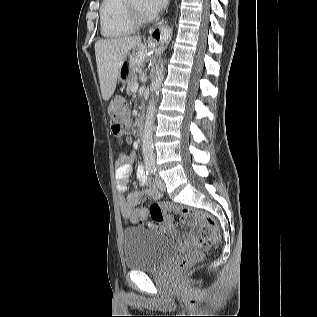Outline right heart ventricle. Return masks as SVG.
I'll use <instances>...</instances> for the list:
<instances>
[{
  "mask_svg": "<svg viewBox=\"0 0 317 317\" xmlns=\"http://www.w3.org/2000/svg\"><path fill=\"white\" fill-rule=\"evenodd\" d=\"M100 29L103 37L126 36L135 29L126 9V0H103L100 8Z\"/></svg>",
  "mask_w": 317,
  "mask_h": 317,
  "instance_id": "right-heart-ventricle-1",
  "label": "right heart ventricle"
}]
</instances>
